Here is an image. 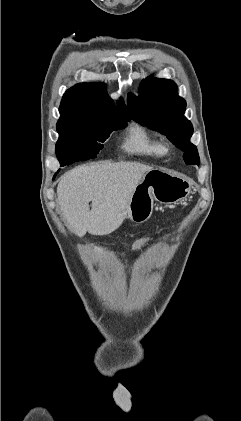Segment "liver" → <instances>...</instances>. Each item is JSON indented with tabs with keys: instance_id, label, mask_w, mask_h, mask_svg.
Listing matches in <instances>:
<instances>
[{
	"instance_id": "obj_1",
	"label": "liver",
	"mask_w": 241,
	"mask_h": 421,
	"mask_svg": "<svg viewBox=\"0 0 241 421\" xmlns=\"http://www.w3.org/2000/svg\"><path fill=\"white\" fill-rule=\"evenodd\" d=\"M152 169L137 162H102L65 173L57 201L71 231L82 237L86 232L106 235L119 228L135 187Z\"/></svg>"
}]
</instances>
